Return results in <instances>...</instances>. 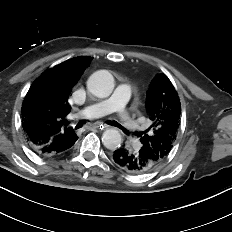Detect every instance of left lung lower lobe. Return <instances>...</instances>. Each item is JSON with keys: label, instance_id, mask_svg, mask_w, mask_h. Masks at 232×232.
<instances>
[{"label": "left lung lower lobe", "instance_id": "obj_1", "mask_svg": "<svg viewBox=\"0 0 232 232\" xmlns=\"http://www.w3.org/2000/svg\"><path fill=\"white\" fill-rule=\"evenodd\" d=\"M112 160L118 168L135 175L151 172L157 167V164L148 159L140 150L134 153L125 148H119L114 151Z\"/></svg>", "mask_w": 232, "mask_h": 232}]
</instances>
